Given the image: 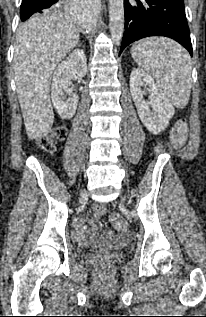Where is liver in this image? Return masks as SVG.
Wrapping results in <instances>:
<instances>
[{"label": "liver", "instance_id": "6515ba94", "mask_svg": "<svg viewBox=\"0 0 206 317\" xmlns=\"http://www.w3.org/2000/svg\"><path fill=\"white\" fill-rule=\"evenodd\" d=\"M78 41V29L67 14L36 15L20 25L13 67L29 139H40L50 131L54 121L49 96L51 77Z\"/></svg>", "mask_w": 206, "mask_h": 317}]
</instances>
